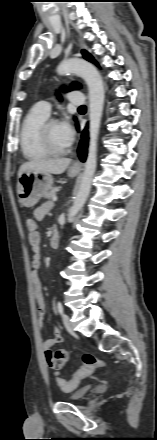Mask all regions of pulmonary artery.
<instances>
[{"label":"pulmonary artery","mask_w":157,"mask_h":440,"mask_svg":"<svg viewBox=\"0 0 157 440\" xmlns=\"http://www.w3.org/2000/svg\"><path fill=\"white\" fill-rule=\"evenodd\" d=\"M68 98L69 101L75 105H83L84 103V96L81 92L78 91L69 92ZM36 106L40 111L49 116L51 105L48 101H40L39 103H37Z\"/></svg>","instance_id":"obj_1"}]
</instances>
